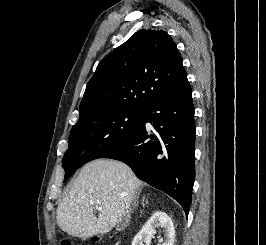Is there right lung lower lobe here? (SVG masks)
Masks as SVG:
<instances>
[{
	"label": "right lung lower lobe",
	"mask_w": 266,
	"mask_h": 245,
	"mask_svg": "<svg viewBox=\"0 0 266 245\" xmlns=\"http://www.w3.org/2000/svg\"><path fill=\"white\" fill-rule=\"evenodd\" d=\"M195 131L192 90L186 80L155 100L133 135L101 158L123 161L139 179L177 200L188 215L195 180Z\"/></svg>",
	"instance_id": "right-lung-lower-lobe-1"
}]
</instances>
